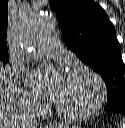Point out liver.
Masks as SVG:
<instances>
[{"instance_id": "6515ba94", "label": "liver", "mask_w": 125, "mask_h": 128, "mask_svg": "<svg viewBox=\"0 0 125 128\" xmlns=\"http://www.w3.org/2000/svg\"><path fill=\"white\" fill-rule=\"evenodd\" d=\"M23 124L14 104L11 79L4 74L0 64V128H20Z\"/></svg>"}]
</instances>
